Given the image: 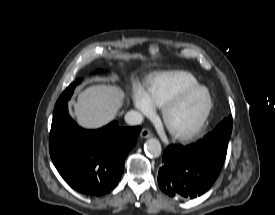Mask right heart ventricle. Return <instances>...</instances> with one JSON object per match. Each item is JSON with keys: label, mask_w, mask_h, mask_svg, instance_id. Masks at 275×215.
Here are the masks:
<instances>
[{"label": "right heart ventricle", "mask_w": 275, "mask_h": 215, "mask_svg": "<svg viewBox=\"0 0 275 215\" xmlns=\"http://www.w3.org/2000/svg\"><path fill=\"white\" fill-rule=\"evenodd\" d=\"M199 85V81L186 71H168L153 75L147 93L157 107L164 105L182 90Z\"/></svg>", "instance_id": "1"}]
</instances>
